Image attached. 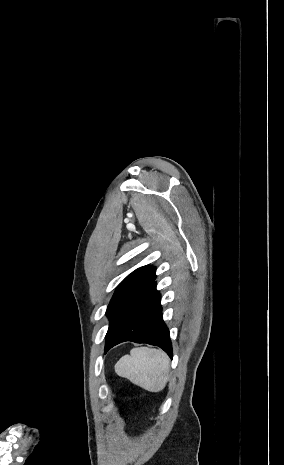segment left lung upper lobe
Listing matches in <instances>:
<instances>
[{
	"instance_id": "obj_1",
	"label": "left lung upper lobe",
	"mask_w": 284,
	"mask_h": 465,
	"mask_svg": "<svg viewBox=\"0 0 284 465\" xmlns=\"http://www.w3.org/2000/svg\"><path fill=\"white\" fill-rule=\"evenodd\" d=\"M155 278V268L152 266H143L129 274L117 286L106 311V315L110 320L109 329L122 309L152 284Z\"/></svg>"
}]
</instances>
